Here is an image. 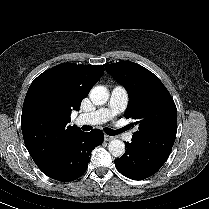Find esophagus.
Masks as SVG:
<instances>
[{
    "instance_id": "34e87169",
    "label": "esophagus",
    "mask_w": 209,
    "mask_h": 209,
    "mask_svg": "<svg viewBox=\"0 0 209 209\" xmlns=\"http://www.w3.org/2000/svg\"><path fill=\"white\" fill-rule=\"evenodd\" d=\"M114 139V137L113 136H109V135H104V140L105 141H111V140H113Z\"/></svg>"
}]
</instances>
